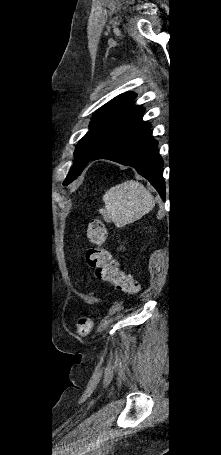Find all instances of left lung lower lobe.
Returning <instances> with one entry per match:
<instances>
[{
  "instance_id": "0a47b994",
  "label": "left lung lower lobe",
  "mask_w": 221,
  "mask_h": 455,
  "mask_svg": "<svg viewBox=\"0 0 221 455\" xmlns=\"http://www.w3.org/2000/svg\"><path fill=\"white\" fill-rule=\"evenodd\" d=\"M150 124L140 119L107 143L91 161L108 159L134 167L165 199L163 160L157 141L149 136Z\"/></svg>"
}]
</instances>
